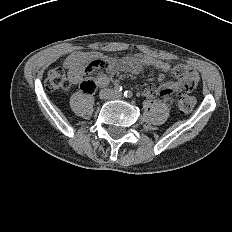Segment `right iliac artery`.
Segmentation results:
<instances>
[{
  "mask_svg": "<svg viewBox=\"0 0 232 232\" xmlns=\"http://www.w3.org/2000/svg\"><path fill=\"white\" fill-rule=\"evenodd\" d=\"M121 91H122V87L117 86V87L115 88V93H119V92H121Z\"/></svg>",
  "mask_w": 232,
  "mask_h": 232,
  "instance_id": "1",
  "label": "right iliac artery"
}]
</instances>
